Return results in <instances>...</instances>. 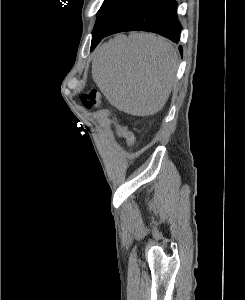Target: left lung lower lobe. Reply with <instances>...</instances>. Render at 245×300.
Wrapping results in <instances>:
<instances>
[{
	"mask_svg": "<svg viewBox=\"0 0 245 300\" xmlns=\"http://www.w3.org/2000/svg\"><path fill=\"white\" fill-rule=\"evenodd\" d=\"M175 0H142L127 10L105 33H92L91 51L104 38L125 31H148L173 42L180 39L181 24L176 14ZM182 54V47L179 46Z\"/></svg>",
	"mask_w": 245,
	"mask_h": 300,
	"instance_id": "left-lung-lower-lobe-1",
	"label": "left lung lower lobe"
}]
</instances>
